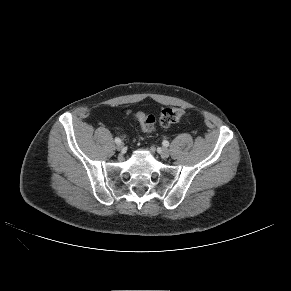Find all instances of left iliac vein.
<instances>
[{
    "label": "left iliac vein",
    "instance_id": "left-iliac-vein-1",
    "mask_svg": "<svg viewBox=\"0 0 291 291\" xmlns=\"http://www.w3.org/2000/svg\"><path fill=\"white\" fill-rule=\"evenodd\" d=\"M160 154H161V156L167 158L169 156V150L167 148L163 147L160 149Z\"/></svg>",
    "mask_w": 291,
    "mask_h": 291
}]
</instances>
